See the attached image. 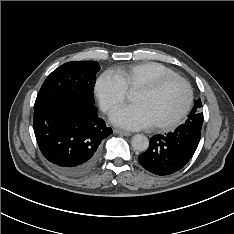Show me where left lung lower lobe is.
Returning a JSON list of instances; mask_svg holds the SVG:
<instances>
[{"instance_id": "0a47b994", "label": "left lung lower lobe", "mask_w": 234, "mask_h": 234, "mask_svg": "<svg viewBox=\"0 0 234 234\" xmlns=\"http://www.w3.org/2000/svg\"><path fill=\"white\" fill-rule=\"evenodd\" d=\"M201 138V129L182 124L174 132L155 135L139 163L156 175H169L183 168L193 156Z\"/></svg>"}]
</instances>
